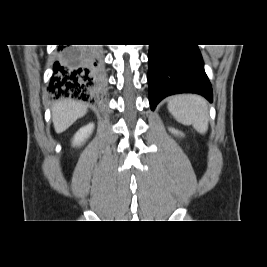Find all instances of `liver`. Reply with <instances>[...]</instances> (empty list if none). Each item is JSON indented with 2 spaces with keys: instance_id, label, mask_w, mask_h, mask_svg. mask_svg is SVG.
Wrapping results in <instances>:
<instances>
[{
  "instance_id": "liver-1",
  "label": "liver",
  "mask_w": 267,
  "mask_h": 267,
  "mask_svg": "<svg viewBox=\"0 0 267 267\" xmlns=\"http://www.w3.org/2000/svg\"><path fill=\"white\" fill-rule=\"evenodd\" d=\"M86 113L87 107L81 102L74 100L56 102L52 107V120L56 133L64 132Z\"/></svg>"
}]
</instances>
